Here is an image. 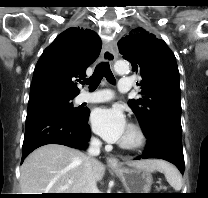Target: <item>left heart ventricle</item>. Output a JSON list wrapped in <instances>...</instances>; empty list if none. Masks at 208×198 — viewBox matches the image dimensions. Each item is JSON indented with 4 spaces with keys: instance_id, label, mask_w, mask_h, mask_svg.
Segmentation results:
<instances>
[{
    "instance_id": "obj_1",
    "label": "left heart ventricle",
    "mask_w": 208,
    "mask_h": 198,
    "mask_svg": "<svg viewBox=\"0 0 208 198\" xmlns=\"http://www.w3.org/2000/svg\"><path fill=\"white\" fill-rule=\"evenodd\" d=\"M135 139V134L134 132L128 127L121 139V141L124 142H130L133 141Z\"/></svg>"
}]
</instances>
